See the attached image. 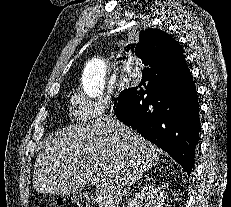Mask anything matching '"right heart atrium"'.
<instances>
[{"instance_id":"d8ad5b80","label":"right heart atrium","mask_w":231,"mask_h":207,"mask_svg":"<svg viewBox=\"0 0 231 207\" xmlns=\"http://www.w3.org/2000/svg\"><path fill=\"white\" fill-rule=\"evenodd\" d=\"M73 116L79 124H92L104 115L112 105L110 97L90 98L82 92H77L71 98Z\"/></svg>"}]
</instances>
